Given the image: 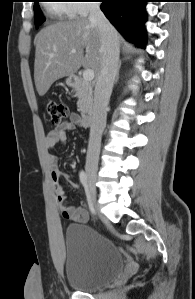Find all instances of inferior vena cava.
<instances>
[{
  "mask_svg": "<svg viewBox=\"0 0 195 299\" xmlns=\"http://www.w3.org/2000/svg\"><path fill=\"white\" fill-rule=\"evenodd\" d=\"M88 19L99 28L102 51V64L95 86L86 156V167H97L101 137L106 126L107 106L117 74L119 39L117 31L101 11L98 2H92L89 5Z\"/></svg>",
  "mask_w": 195,
  "mask_h": 299,
  "instance_id": "602c4592",
  "label": "inferior vena cava"
}]
</instances>
